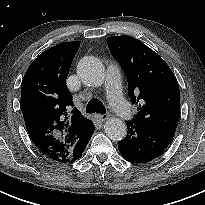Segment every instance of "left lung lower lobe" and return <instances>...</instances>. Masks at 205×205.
Wrapping results in <instances>:
<instances>
[{
  "instance_id": "0a47b994",
  "label": "left lung lower lobe",
  "mask_w": 205,
  "mask_h": 205,
  "mask_svg": "<svg viewBox=\"0 0 205 205\" xmlns=\"http://www.w3.org/2000/svg\"><path fill=\"white\" fill-rule=\"evenodd\" d=\"M126 124L128 132L118 142V149L123 158L132 163H146L162 155L176 131L134 121H126Z\"/></svg>"
}]
</instances>
